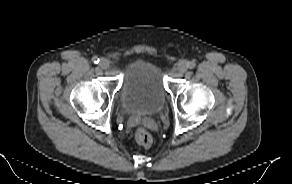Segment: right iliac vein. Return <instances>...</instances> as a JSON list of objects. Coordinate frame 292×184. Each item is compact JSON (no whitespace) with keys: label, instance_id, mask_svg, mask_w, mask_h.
<instances>
[{"label":"right iliac vein","instance_id":"obj_1","mask_svg":"<svg viewBox=\"0 0 292 184\" xmlns=\"http://www.w3.org/2000/svg\"><path fill=\"white\" fill-rule=\"evenodd\" d=\"M109 61L106 59V58H102L99 62V66L102 68V69H107L109 67Z\"/></svg>","mask_w":292,"mask_h":184}]
</instances>
